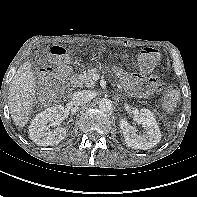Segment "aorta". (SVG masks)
Returning <instances> with one entry per match:
<instances>
[{
    "mask_svg": "<svg viewBox=\"0 0 197 197\" xmlns=\"http://www.w3.org/2000/svg\"><path fill=\"white\" fill-rule=\"evenodd\" d=\"M99 108L102 111H110L112 109V101L108 98H103L99 101Z\"/></svg>",
    "mask_w": 197,
    "mask_h": 197,
    "instance_id": "aorta-1",
    "label": "aorta"
}]
</instances>
